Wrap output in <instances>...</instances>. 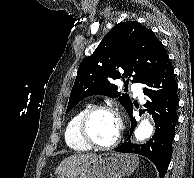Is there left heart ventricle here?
<instances>
[{
  "label": "left heart ventricle",
  "mask_w": 194,
  "mask_h": 178,
  "mask_svg": "<svg viewBox=\"0 0 194 178\" xmlns=\"http://www.w3.org/2000/svg\"><path fill=\"white\" fill-rule=\"evenodd\" d=\"M87 129L90 137L99 144L112 142L119 132L117 118L108 112H97L89 120Z\"/></svg>",
  "instance_id": "obj_1"
}]
</instances>
